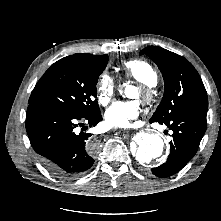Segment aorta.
<instances>
[{"label": "aorta", "mask_w": 221, "mask_h": 221, "mask_svg": "<svg viewBox=\"0 0 221 221\" xmlns=\"http://www.w3.org/2000/svg\"><path fill=\"white\" fill-rule=\"evenodd\" d=\"M164 147V141L158 134L142 132L135 137L132 153L140 165H147L162 155Z\"/></svg>", "instance_id": "1"}]
</instances>
